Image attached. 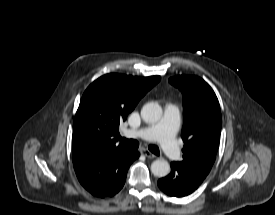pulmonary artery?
<instances>
[{"instance_id": "1", "label": "pulmonary artery", "mask_w": 275, "mask_h": 215, "mask_svg": "<svg viewBox=\"0 0 275 215\" xmlns=\"http://www.w3.org/2000/svg\"><path fill=\"white\" fill-rule=\"evenodd\" d=\"M180 121V109L174 104H167L162 119L151 126L139 130L126 129L124 135L130 138H139L145 141H158L170 160L180 158L175 135Z\"/></svg>"}]
</instances>
